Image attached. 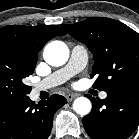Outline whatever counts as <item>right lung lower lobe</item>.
<instances>
[{"instance_id": "1", "label": "right lung lower lobe", "mask_w": 139, "mask_h": 139, "mask_svg": "<svg viewBox=\"0 0 139 139\" xmlns=\"http://www.w3.org/2000/svg\"><path fill=\"white\" fill-rule=\"evenodd\" d=\"M65 103L58 94L38 104L29 97L0 100V139H47L53 115Z\"/></svg>"}]
</instances>
